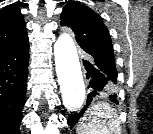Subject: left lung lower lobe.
Wrapping results in <instances>:
<instances>
[{"label": "left lung lower lobe", "mask_w": 153, "mask_h": 134, "mask_svg": "<svg viewBox=\"0 0 153 134\" xmlns=\"http://www.w3.org/2000/svg\"><path fill=\"white\" fill-rule=\"evenodd\" d=\"M83 65L86 69V78L89 80L88 88H90V93L84 108L80 112L69 116L68 120L70 128H72L82 117L92 100L100 94L106 93L113 102H117L115 91H108V86L117 81L116 69L108 67L106 64L95 58L83 60Z\"/></svg>", "instance_id": "1"}]
</instances>
